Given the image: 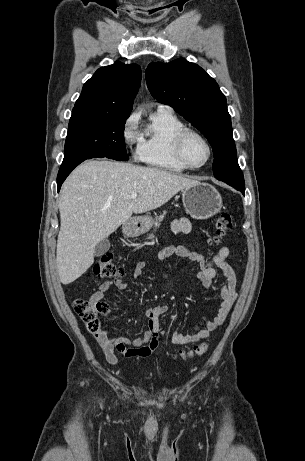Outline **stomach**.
I'll return each instance as SVG.
<instances>
[{
	"label": "stomach",
	"instance_id": "1",
	"mask_svg": "<svg viewBox=\"0 0 305 461\" xmlns=\"http://www.w3.org/2000/svg\"><path fill=\"white\" fill-rule=\"evenodd\" d=\"M182 202L186 212L196 219H207L220 212L222 198L210 184L198 183L182 190ZM150 216L135 217L123 225L128 237H137L147 232L153 225Z\"/></svg>",
	"mask_w": 305,
	"mask_h": 461
}]
</instances>
